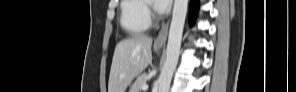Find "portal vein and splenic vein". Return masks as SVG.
Segmentation results:
<instances>
[{
  "instance_id": "obj_1",
  "label": "portal vein and splenic vein",
  "mask_w": 296,
  "mask_h": 92,
  "mask_svg": "<svg viewBox=\"0 0 296 92\" xmlns=\"http://www.w3.org/2000/svg\"><path fill=\"white\" fill-rule=\"evenodd\" d=\"M147 89H148V85L147 84L142 85V90H147Z\"/></svg>"
}]
</instances>
